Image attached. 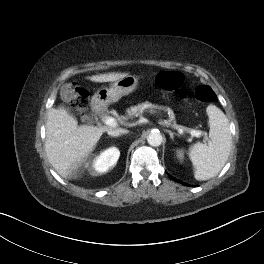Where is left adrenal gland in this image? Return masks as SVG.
<instances>
[{"label": "left adrenal gland", "mask_w": 264, "mask_h": 264, "mask_svg": "<svg viewBox=\"0 0 264 264\" xmlns=\"http://www.w3.org/2000/svg\"><path fill=\"white\" fill-rule=\"evenodd\" d=\"M166 132H168L169 133V135H170V138L172 139V140H174V135H176V136H179V134H177V133H173L172 131H170V130H166Z\"/></svg>", "instance_id": "left-adrenal-gland-1"}]
</instances>
